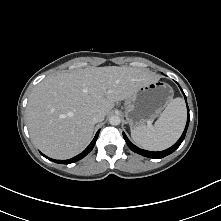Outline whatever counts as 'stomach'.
I'll return each instance as SVG.
<instances>
[{"mask_svg": "<svg viewBox=\"0 0 221 221\" xmlns=\"http://www.w3.org/2000/svg\"><path fill=\"white\" fill-rule=\"evenodd\" d=\"M173 98L172 87L162 81L141 85L125 101V116L132 129L144 127L154 120Z\"/></svg>", "mask_w": 221, "mask_h": 221, "instance_id": "stomach-1", "label": "stomach"}]
</instances>
